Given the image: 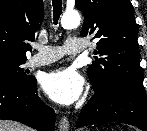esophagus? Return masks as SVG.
I'll list each match as a JSON object with an SVG mask.
<instances>
[{
	"label": "esophagus",
	"instance_id": "obj_1",
	"mask_svg": "<svg viewBox=\"0 0 147 131\" xmlns=\"http://www.w3.org/2000/svg\"><path fill=\"white\" fill-rule=\"evenodd\" d=\"M69 127H70V124H69L68 118L63 116L59 122V131H69Z\"/></svg>",
	"mask_w": 147,
	"mask_h": 131
}]
</instances>
